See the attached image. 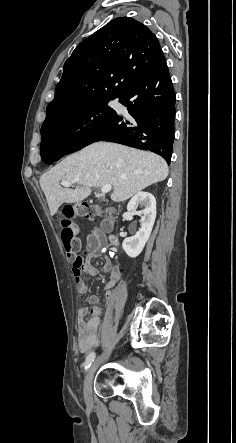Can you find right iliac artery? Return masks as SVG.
<instances>
[{"mask_svg":"<svg viewBox=\"0 0 236 443\" xmlns=\"http://www.w3.org/2000/svg\"><path fill=\"white\" fill-rule=\"evenodd\" d=\"M95 356H96L95 352H91V353L87 356L86 361H85V364H84L86 370L91 366L92 362H93L94 359H95Z\"/></svg>","mask_w":236,"mask_h":443,"instance_id":"82829eb1","label":"right iliac artery"}]
</instances>
